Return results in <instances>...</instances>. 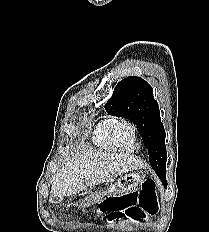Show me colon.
I'll use <instances>...</instances> for the list:
<instances>
[{
	"mask_svg": "<svg viewBox=\"0 0 209 232\" xmlns=\"http://www.w3.org/2000/svg\"><path fill=\"white\" fill-rule=\"evenodd\" d=\"M100 205V211L108 213L110 220H144L159 211L157 188L152 180L146 179L141 182L139 190L127 192L117 198L105 197Z\"/></svg>",
	"mask_w": 209,
	"mask_h": 232,
	"instance_id": "1",
	"label": "colon"
}]
</instances>
